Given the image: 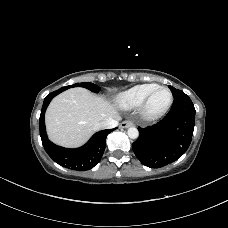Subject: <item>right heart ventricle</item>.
I'll list each match as a JSON object with an SVG mask.
<instances>
[{
	"label": "right heart ventricle",
	"mask_w": 228,
	"mask_h": 228,
	"mask_svg": "<svg viewBox=\"0 0 228 228\" xmlns=\"http://www.w3.org/2000/svg\"><path fill=\"white\" fill-rule=\"evenodd\" d=\"M157 86L159 85L156 83L136 85L121 93L117 97L116 102L121 108L126 110L138 108L146 96Z\"/></svg>",
	"instance_id": "right-heart-ventricle-1"
}]
</instances>
